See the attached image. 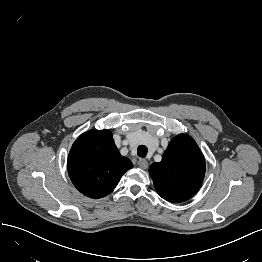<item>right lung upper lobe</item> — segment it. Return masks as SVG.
Here are the masks:
<instances>
[{
    "instance_id": "1",
    "label": "right lung upper lobe",
    "mask_w": 262,
    "mask_h": 262,
    "mask_svg": "<svg viewBox=\"0 0 262 262\" xmlns=\"http://www.w3.org/2000/svg\"><path fill=\"white\" fill-rule=\"evenodd\" d=\"M132 167L131 161L120 155L109 130H90L80 135L67 161L74 186L94 199L112 192L122 175Z\"/></svg>"
}]
</instances>
